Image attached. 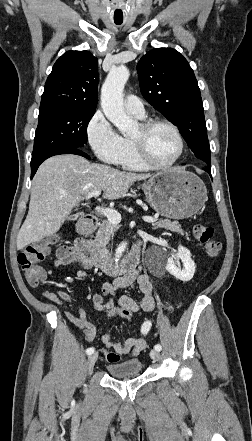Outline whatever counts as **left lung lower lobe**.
I'll return each instance as SVG.
<instances>
[{
  "label": "left lung lower lobe",
  "mask_w": 252,
  "mask_h": 441,
  "mask_svg": "<svg viewBox=\"0 0 252 441\" xmlns=\"http://www.w3.org/2000/svg\"><path fill=\"white\" fill-rule=\"evenodd\" d=\"M205 171L211 176V164H205Z\"/></svg>",
  "instance_id": "1"
}]
</instances>
